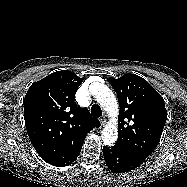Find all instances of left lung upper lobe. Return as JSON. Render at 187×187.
Listing matches in <instances>:
<instances>
[{"label": "left lung upper lobe", "instance_id": "left-lung-upper-lobe-1", "mask_svg": "<svg viewBox=\"0 0 187 187\" xmlns=\"http://www.w3.org/2000/svg\"><path fill=\"white\" fill-rule=\"evenodd\" d=\"M108 81L120 105L119 137L114 146L145 161L157 147L167 119L164 100L138 75L128 73L119 79L110 77Z\"/></svg>", "mask_w": 187, "mask_h": 187}]
</instances>
